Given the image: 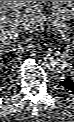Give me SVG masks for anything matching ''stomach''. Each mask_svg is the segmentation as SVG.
<instances>
[{
  "instance_id": "obj_1",
  "label": "stomach",
  "mask_w": 74,
  "mask_h": 122,
  "mask_svg": "<svg viewBox=\"0 0 74 122\" xmlns=\"http://www.w3.org/2000/svg\"><path fill=\"white\" fill-rule=\"evenodd\" d=\"M57 19L71 18L74 14V1H52Z\"/></svg>"
}]
</instances>
